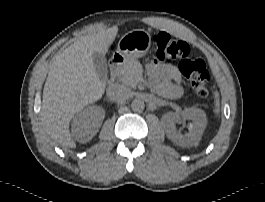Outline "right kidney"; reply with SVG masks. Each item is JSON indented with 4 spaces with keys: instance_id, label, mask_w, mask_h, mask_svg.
<instances>
[{
    "instance_id": "1",
    "label": "right kidney",
    "mask_w": 265,
    "mask_h": 202,
    "mask_svg": "<svg viewBox=\"0 0 265 202\" xmlns=\"http://www.w3.org/2000/svg\"><path fill=\"white\" fill-rule=\"evenodd\" d=\"M105 117L100 106H89L77 112L72 122V135L81 143L90 141L98 132Z\"/></svg>"
}]
</instances>
